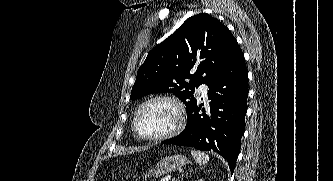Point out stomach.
Returning <instances> with one entry per match:
<instances>
[{
	"instance_id": "stomach-1",
	"label": "stomach",
	"mask_w": 333,
	"mask_h": 181,
	"mask_svg": "<svg viewBox=\"0 0 333 181\" xmlns=\"http://www.w3.org/2000/svg\"><path fill=\"white\" fill-rule=\"evenodd\" d=\"M187 163L188 159L185 156L177 154L166 156L156 164L155 168H152L146 172L143 177L149 178L152 176H160L163 174L171 173L186 165Z\"/></svg>"
}]
</instances>
